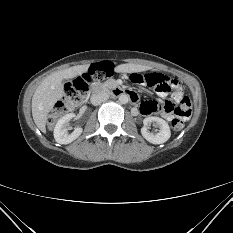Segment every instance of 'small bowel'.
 I'll return each mask as SVG.
<instances>
[{"instance_id": "c3829d8e", "label": "small bowel", "mask_w": 233, "mask_h": 233, "mask_svg": "<svg viewBox=\"0 0 233 233\" xmlns=\"http://www.w3.org/2000/svg\"><path fill=\"white\" fill-rule=\"evenodd\" d=\"M172 81L174 82V87L172 88V94L171 97L173 99L174 102L179 103L183 98H185V94L184 91L179 83L178 80L172 79ZM170 91V90H168ZM168 91H158L162 96L166 95ZM153 101H146L144 103L141 104V106L139 107V109H135V112L138 113L140 112L143 115H151L157 111H159L164 118H166L167 120H171L173 119V117L175 116V112L170 109L166 104H162L160 109L158 110H153L151 108V104Z\"/></svg>"}]
</instances>
